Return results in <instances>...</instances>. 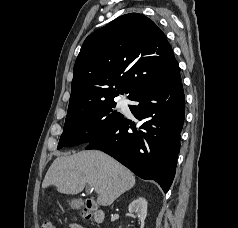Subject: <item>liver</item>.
Here are the masks:
<instances>
[{"mask_svg":"<svg viewBox=\"0 0 238 228\" xmlns=\"http://www.w3.org/2000/svg\"><path fill=\"white\" fill-rule=\"evenodd\" d=\"M133 173L112 157L97 150L57 157L43 180V188L55 186L60 193L75 195L86 184L98 193L97 203L111 205L135 185Z\"/></svg>","mask_w":238,"mask_h":228,"instance_id":"liver-1","label":"liver"}]
</instances>
